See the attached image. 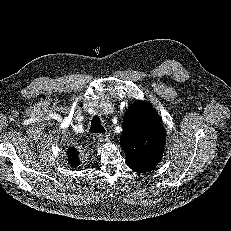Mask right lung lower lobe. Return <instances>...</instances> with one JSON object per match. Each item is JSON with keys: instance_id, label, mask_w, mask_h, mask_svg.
Returning <instances> with one entry per match:
<instances>
[{"instance_id": "right-lung-lower-lobe-1", "label": "right lung lower lobe", "mask_w": 231, "mask_h": 231, "mask_svg": "<svg viewBox=\"0 0 231 231\" xmlns=\"http://www.w3.org/2000/svg\"><path fill=\"white\" fill-rule=\"evenodd\" d=\"M68 152L72 155H75V156H77V153H78V152L74 151L73 149L69 150Z\"/></svg>"}]
</instances>
